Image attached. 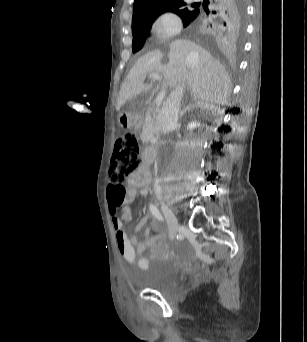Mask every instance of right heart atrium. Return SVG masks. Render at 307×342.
Masks as SVG:
<instances>
[{
  "instance_id": "obj_1",
  "label": "right heart atrium",
  "mask_w": 307,
  "mask_h": 342,
  "mask_svg": "<svg viewBox=\"0 0 307 342\" xmlns=\"http://www.w3.org/2000/svg\"><path fill=\"white\" fill-rule=\"evenodd\" d=\"M180 18L171 12L159 13L147 28V37L153 42H167L182 31Z\"/></svg>"
}]
</instances>
